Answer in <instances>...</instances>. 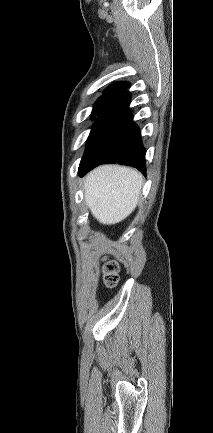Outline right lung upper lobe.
Instances as JSON below:
<instances>
[{
  "label": "right lung upper lobe",
  "mask_w": 213,
  "mask_h": 433,
  "mask_svg": "<svg viewBox=\"0 0 213 433\" xmlns=\"http://www.w3.org/2000/svg\"><path fill=\"white\" fill-rule=\"evenodd\" d=\"M130 84L128 82H118L110 85L104 90V95L102 96H118L120 93L128 89Z\"/></svg>",
  "instance_id": "right-lung-upper-lobe-1"
}]
</instances>
